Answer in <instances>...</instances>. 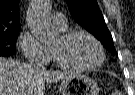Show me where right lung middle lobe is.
Returning <instances> with one entry per match:
<instances>
[{"label": "right lung middle lobe", "mask_w": 135, "mask_h": 95, "mask_svg": "<svg viewBox=\"0 0 135 95\" xmlns=\"http://www.w3.org/2000/svg\"><path fill=\"white\" fill-rule=\"evenodd\" d=\"M19 30L0 32V56H10L16 53V41Z\"/></svg>", "instance_id": "obj_1"}]
</instances>
